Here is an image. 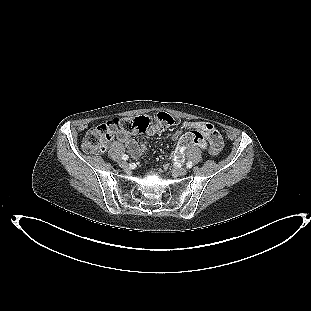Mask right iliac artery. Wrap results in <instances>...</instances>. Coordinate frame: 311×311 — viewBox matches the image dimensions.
Wrapping results in <instances>:
<instances>
[{"label": "right iliac artery", "mask_w": 311, "mask_h": 311, "mask_svg": "<svg viewBox=\"0 0 311 311\" xmlns=\"http://www.w3.org/2000/svg\"><path fill=\"white\" fill-rule=\"evenodd\" d=\"M128 158H129V156L126 155V154H124V155L122 156V159H123V160H128Z\"/></svg>", "instance_id": "82829eb1"}]
</instances>
